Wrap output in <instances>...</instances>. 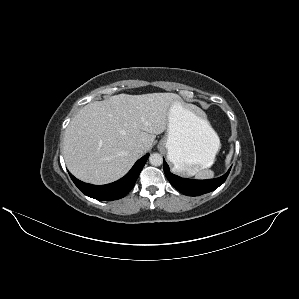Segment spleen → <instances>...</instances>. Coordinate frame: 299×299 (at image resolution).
Instances as JSON below:
<instances>
[{
    "instance_id": "obj_1",
    "label": "spleen",
    "mask_w": 299,
    "mask_h": 299,
    "mask_svg": "<svg viewBox=\"0 0 299 299\" xmlns=\"http://www.w3.org/2000/svg\"><path fill=\"white\" fill-rule=\"evenodd\" d=\"M231 157H232V150L229 152V154L226 157V160H225L226 165L229 164ZM189 174L195 175V177L197 179H202V180L211 179L214 177V172L209 169L199 170L197 172H190Z\"/></svg>"
}]
</instances>
